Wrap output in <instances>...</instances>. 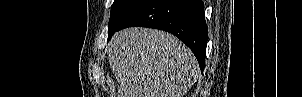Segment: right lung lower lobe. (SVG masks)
I'll use <instances>...</instances> for the list:
<instances>
[{"instance_id":"obj_1","label":"right lung lower lobe","mask_w":302,"mask_h":97,"mask_svg":"<svg viewBox=\"0 0 302 97\" xmlns=\"http://www.w3.org/2000/svg\"><path fill=\"white\" fill-rule=\"evenodd\" d=\"M132 26L155 28L174 34L192 50L203 71L208 30L202 0H145L124 19L115 32Z\"/></svg>"}]
</instances>
